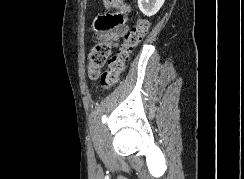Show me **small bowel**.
<instances>
[{"label":"small bowel","mask_w":244,"mask_h":179,"mask_svg":"<svg viewBox=\"0 0 244 179\" xmlns=\"http://www.w3.org/2000/svg\"><path fill=\"white\" fill-rule=\"evenodd\" d=\"M94 40L99 41L109 37L122 36L126 29L120 24L117 14L105 12L94 21Z\"/></svg>","instance_id":"1"}]
</instances>
